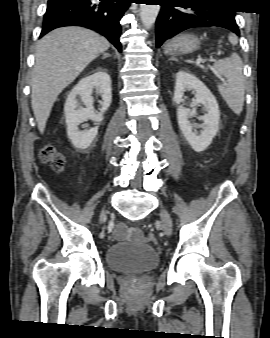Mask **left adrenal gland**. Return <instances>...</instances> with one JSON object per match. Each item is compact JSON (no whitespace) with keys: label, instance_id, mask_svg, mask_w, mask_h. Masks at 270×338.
Wrapping results in <instances>:
<instances>
[{"label":"left adrenal gland","instance_id":"left-adrenal-gland-1","mask_svg":"<svg viewBox=\"0 0 270 338\" xmlns=\"http://www.w3.org/2000/svg\"><path fill=\"white\" fill-rule=\"evenodd\" d=\"M170 60H175V61H177L175 58H170Z\"/></svg>","mask_w":270,"mask_h":338}]
</instances>
